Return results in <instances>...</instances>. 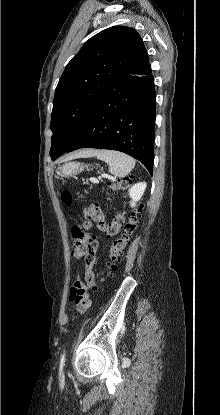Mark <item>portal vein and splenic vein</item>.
Returning a JSON list of instances; mask_svg holds the SVG:
<instances>
[{"mask_svg": "<svg viewBox=\"0 0 220 415\" xmlns=\"http://www.w3.org/2000/svg\"><path fill=\"white\" fill-rule=\"evenodd\" d=\"M102 177H106V178H112L111 176L107 175V174H103Z\"/></svg>", "mask_w": 220, "mask_h": 415, "instance_id": "1", "label": "portal vein and splenic vein"}]
</instances>
